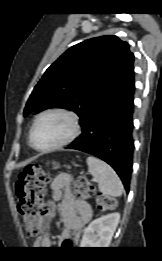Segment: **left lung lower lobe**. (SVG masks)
Returning <instances> with one entry per match:
<instances>
[{
  "label": "left lung lower lobe",
  "mask_w": 162,
  "mask_h": 261,
  "mask_svg": "<svg viewBox=\"0 0 162 261\" xmlns=\"http://www.w3.org/2000/svg\"><path fill=\"white\" fill-rule=\"evenodd\" d=\"M134 75L102 102L82 125V134L68 149L92 154L114 168L126 191L132 171L134 150L133 109Z\"/></svg>",
  "instance_id": "left-lung-lower-lobe-1"
}]
</instances>
